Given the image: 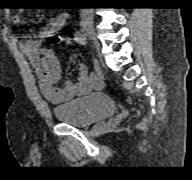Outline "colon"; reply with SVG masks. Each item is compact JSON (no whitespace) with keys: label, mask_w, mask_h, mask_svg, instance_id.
Wrapping results in <instances>:
<instances>
[{"label":"colon","mask_w":192,"mask_h":180,"mask_svg":"<svg viewBox=\"0 0 192 180\" xmlns=\"http://www.w3.org/2000/svg\"><path fill=\"white\" fill-rule=\"evenodd\" d=\"M54 39H55L56 42H63V41H65L64 38L59 37V36L55 37Z\"/></svg>","instance_id":"1"}]
</instances>
